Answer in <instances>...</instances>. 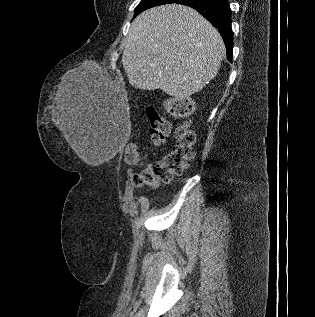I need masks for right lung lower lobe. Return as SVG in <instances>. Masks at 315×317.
Masks as SVG:
<instances>
[{
  "label": "right lung lower lobe",
  "instance_id": "98d812e1",
  "mask_svg": "<svg viewBox=\"0 0 315 317\" xmlns=\"http://www.w3.org/2000/svg\"><path fill=\"white\" fill-rule=\"evenodd\" d=\"M176 3L194 8L218 29L226 46L227 59L232 62L233 32L227 0H178Z\"/></svg>",
  "mask_w": 315,
  "mask_h": 317
}]
</instances>
